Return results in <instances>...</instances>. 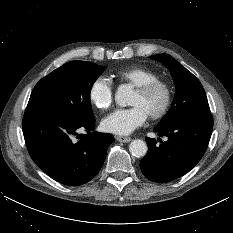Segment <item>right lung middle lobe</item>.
<instances>
[{
	"label": "right lung middle lobe",
	"mask_w": 233,
	"mask_h": 233,
	"mask_svg": "<svg viewBox=\"0 0 233 233\" xmlns=\"http://www.w3.org/2000/svg\"><path fill=\"white\" fill-rule=\"evenodd\" d=\"M105 69L92 62H68L36 84L27 108L51 109L84 122L93 121L90 92Z\"/></svg>",
	"instance_id": "right-lung-middle-lobe-1"
}]
</instances>
